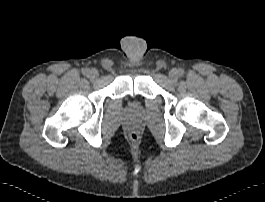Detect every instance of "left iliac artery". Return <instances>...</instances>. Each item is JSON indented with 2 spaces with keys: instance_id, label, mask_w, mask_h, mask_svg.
<instances>
[{
  "instance_id": "44dca946",
  "label": "left iliac artery",
  "mask_w": 265,
  "mask_h": 202,
  "mask_svg": "<svg viewBox=\"0 0 265 202\" xmlns=\"http://www.w3.org/2000/svg\"><path fill=\"white\" fill-rule=\"evenodd\" d=\"M177 73H178L179 76H183L185 72H184V70L179 69V70L177 71Z\"/></svg>"
}]
</instances>
